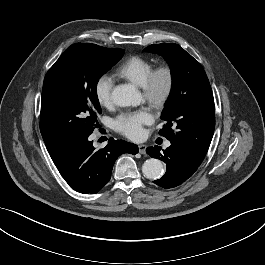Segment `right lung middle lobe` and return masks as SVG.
I'll return each mask as SVG.
<instances>
[{"mask_svg": "<svg viewBox=\"0 0 265 265\" xmlns=\"http://www.w3.org/2000/svg\"><path fill=\"white\" fill-rule=\"evenodd\" d=\"M123 55V49L77 43L49 69L43 83L40 114V131L48 152L93 132L101 113L98 80Z\"/></svg>", "mask_w": 265, "mask_h": 265, "instance_id": "obj_1", "label": "right lung middle lobe"}]
</instances>
